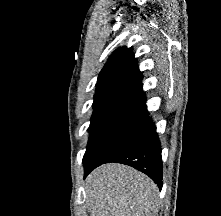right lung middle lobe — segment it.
Returning <instances> with one entry per match:
<instances>
[{"label": "right lung middle lobe", "mask_w": 221, "mask_h": 216, "mask_svg": "<svg viewBox=\"0 0 221 216\" xmlns=\"http://www.w3.org/2000/svg\"><path fill=\"white\" fill-rule=\"evenodd\" d=\"M148 115H117L90 123V136L83 157L84 166L102 164L130 145L148 128Z\"/></svg>", "instance_id": "obj_1"}]
</instances>
